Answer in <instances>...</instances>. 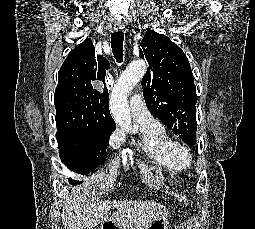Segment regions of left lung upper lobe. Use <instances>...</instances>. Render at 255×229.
I'll return each instance as SVG.
<instances>
[{
  "mask_svg": "<svg viewBox=\"0 0 255 229\" xmlns=\"http://www.w3.org/2000/svg\"><path fill=\"white\" fill-rule=\"evenodd\" d=\"M140 57L149 69L142 79L149 111L188 145L196 144V86L184 52L167 36L147 30Z\"/></svg>",
  "mask_w": 255,
  "mask_h": 229,
  "instance_id": "left-lung-upper-lobe-1",
  "label": "left lung upper lobe"
}]
</instances>
